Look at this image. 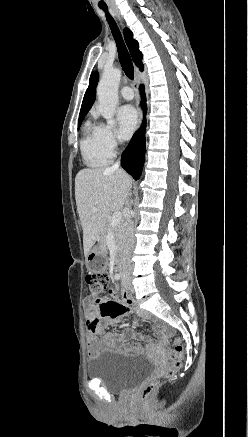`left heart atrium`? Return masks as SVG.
Listing matches in <instances>:
<instances>
[{
  "label": "left heart atrium",
  "mask_w": 248,
  "mask_h": 437,
  "mask_svg": "<svg viewBox=\"0 0 248 437\" xmlns=\"http://www.w3.org/2000/svg\"><path fill=\"white\" fill-rule=\"evenodd\" d=\"M117 117L119 122V133L122 138L128 139L137 126V112L132 106L125 105L118 110Z\"/></svg>",
  "instance_id": "left-heart-atrium-1"
}]
</instances>
